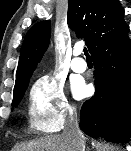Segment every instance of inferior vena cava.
<instances>
[{"label":"inferior vena cava","instance_id":"inferior-vena-cava-1","mask_svg":"<svg viewBox=\"0 0 131 151\" xmlns=\"http://www.w3.org/2000/svg\"><path fill=\"white\" fill-rule=\"evenodd\" d=\"M62 136L73 145V151H85L84 136L78 125L77 114L72 108H69Z\"/></svg>","mask_w":131,"mask_h":151}]
</instances>
